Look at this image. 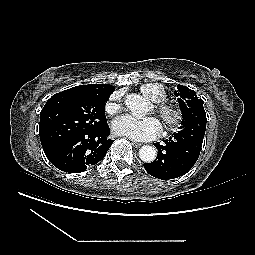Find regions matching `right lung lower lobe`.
Wrapping results in <instances>:
<instances>
[{
  "mask_svg": "<svg viewBox=\"0 0 255 255\" xmlns=\"http://www.w3.org/2000/svg\"><path fill=\"white\" fill-rule=\"evenodd\" d=\"M107 123L100 129L76 135L66 141L48 160L58 169L68 173H80L101 161L113 140L109 139Z\"/></svg>",
  "mask_w": 255,
  "mask_h": 255,
  "instance_id": "right-lung-lower-lobe-1",
  "label": "right lung lower lobe"
}]
</instances>
